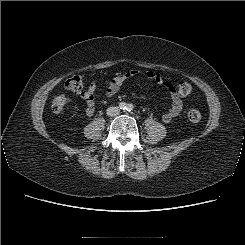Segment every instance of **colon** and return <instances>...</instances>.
<instances>
[{"label": "colon", "mask_w": 245, "mask_h": 245, "mask_svg": "<svg viewBox=\"0 0 245 245\" xmlns=\"http://www.w3.org/2000/svg\"><path fill=\"white\" fill-rule=\"evenodd\" d=\"M65 88L72 92H81L83 89V79L79 74L72 75L65 82ZM193 87L188 82H181L179 84V94L181 96H188L192 93ZM69 105V98L63 93H59L54 96L52 100V111L60 113L64 111ZM187 118L190 122L197 123L201 120V113L196 109H191L187 113Z\"/></svg>", "instance_id": "colon-1"}]
</instances>
